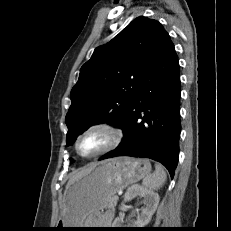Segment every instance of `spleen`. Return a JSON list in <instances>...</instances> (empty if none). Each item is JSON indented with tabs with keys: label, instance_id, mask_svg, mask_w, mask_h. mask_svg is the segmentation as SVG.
<instances>
[{
	"label": "spleen",
	"instance_id": "3e777b00",
	"mask_svg": "<svg viewBox=\"0 0 231 231\" xmlns=\"http://www.w3.org/2000/svg\"><path fill=\"white\" fill-rule=\"evenodd\" d=\"M167 179L166 172L162 165L155 164V171L153 174L147 175L143 179V186L149 190H158L160 189Z\"/></svg>",
	"mask_w": 231,
	"mask_h": 231
}]
</instances>
